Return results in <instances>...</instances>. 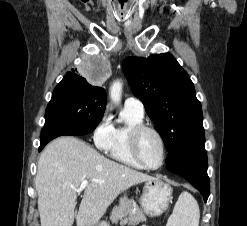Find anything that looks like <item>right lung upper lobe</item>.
<instances>
[{"mask_svg": "<svg viewBox=\"0 0 247 226\" xmlns=\"http://www.w3.org/2000/svg\"><path fill=\"white\" fill-rule=\"evenodd\" d=\"M76 72L77 70L72 69V72H67L62 80L71 81L77 87L90 90L93 93L97 94L98 96L106 100V93L103 88L89 84L85 78H83L82 76H79Z\"/></svg>", "mask_w": 247, "mask_h": 226, "instance_id": "1", "label": "right lung upper lobe"}]
</instances>
